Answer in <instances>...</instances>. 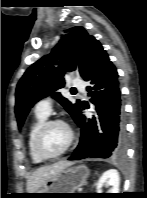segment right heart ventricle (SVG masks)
<instances>
[{
	"mask_svg": "<svg viewBox=\"0 0 147 198\" xmlns=\"http://www.w3.org/2000/svg\"><path fill=\"white\" fill-rule=\"evenodd\" d=\"M48 116L36 114L32 123L29 126L27 132V147L28 153L33 163L40 164L45 161V159L41 158L35 151L34 148V138L38 131V129L42 126V124L47 120Z\"/></svg>",
	"mask_w": 147,
	"mask_h": 198,
	"instance_id": "1",
	"label": "right heart ventricle"
}]
</instances>
